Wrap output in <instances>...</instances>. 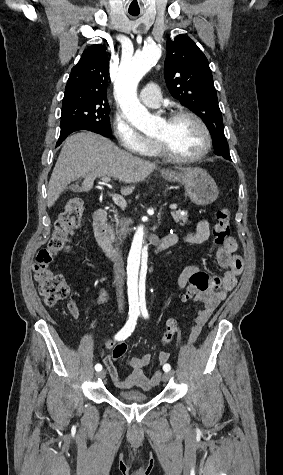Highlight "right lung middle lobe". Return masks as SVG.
<instances>
[{"label": "right lung middle lobe", "instance_id": "dd1d6c3e", "mask_svg": "<svg viewBox=\"0 0 283 475\" xmlns=\"http://www.w3.org/2000/svg\"><path fill=\"white\" fill-rule=\"evenodd\" d=\"M110 107L106 97H64L61 129L81 127L110 137Z\"/></svg>", "mask_w": 283, "mask_h": 475}]
</instances>
